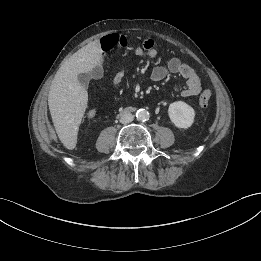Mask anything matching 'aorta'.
I'll list each match as a JSON object with an SVG mask.
<instances>
[{
	"mask_svg": "<svg viewBox=\"0 0 261 261\" xmlns=\"http://www.w3.org/2000/svg\"><path fill=\"white\" fill-rule=\"evenodd\" d=\"M136 117L138 120L146 121L149 119L150 116H149V112L146 109H139L136 112Z\"/></svg>",
	"mask_w": 261,
	"mask_h": 261,
	"instance_id": "762f6f07",
	"label": "aorta"
}]
</instances>
